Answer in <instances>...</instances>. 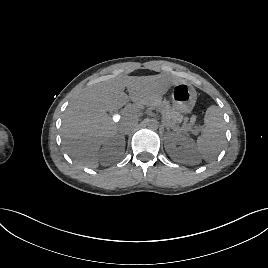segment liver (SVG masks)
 I'll use <instances>...</instances> for the list:
<instances>
[{
  "instance_id": "obj_1",
  "label": "liver",
  "mask_w": 268,
  "mask_h": 268,
  "mask_svg": "<svg viewBox=\"0 0 268 268\" xmlns=\"http://www.w3.org/2000/svg\"><path fill=\"white\" fill-rule=\"evenodd\" d=\"M179 82L165 74L126 75L84 88L72 99L63 117L61 135L67 153L81 166L98 167L101 145L118 132V125L107 112L122 108L130 100L138 106L151 104Z\"/></svg>"
}]
</instances>
